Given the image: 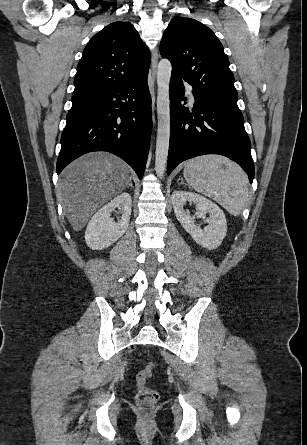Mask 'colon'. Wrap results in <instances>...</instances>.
<instances>
[{"instance_id": "1", "label": "colon", "mask_w": 307, "mask_h": 445, "mask_svg": "<svg viewBox=\"0 0 307 445\" xmlns=\"http://www.w3.org/2000/svg\"><path fill=\"white\" fill-rule=\"evenodd\" d=\"M153 370L154 366L150 364L140 370L136 375V401L142 408H152L159 398L158 392L147 385V381L151 378Z\"/></svg>"}]
</instances>
